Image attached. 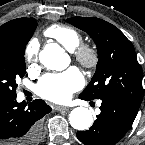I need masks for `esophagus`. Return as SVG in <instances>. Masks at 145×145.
<instances>
[{"mask_svg": "<svg viewBox=\"0 0 145 145\" xmlns=\"http://www.w3.org/2000/svg\"><path fill=\"white\" fill-rule=\"evenodd\" d=\"M57 111H68L69 107L56 106Z\"/></svg>", "mask_w": 145, "mask_h": 145, "instance_id": "obj_1", "label": "esophagus"}]
</instances>
